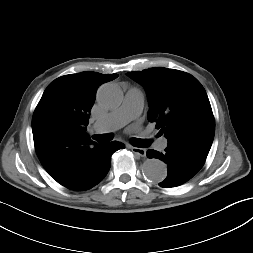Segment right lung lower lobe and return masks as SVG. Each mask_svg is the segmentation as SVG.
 I'll return each instance as SVG.
<instances>
[{
	"label": "right lung lower lobe",
	"mask_w": 253,
	"mask_h": 253,
	"mask_svg": "<svg viewBox=\"0 0 253 253\" xmlns=\"http://www.w3.org/2000/svg\"><path fill=\"white\" fill-rule=\"evenodd\" d=\"M121 148H125V146L116 141L101 145V147L93 153L91 162L87 166L83 178L67 188L75 191H84L97 185L110 169L111 155Z\"/></svg>",
	"instance_id": "obj_1"
}]
</instances>
